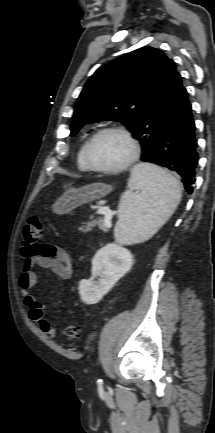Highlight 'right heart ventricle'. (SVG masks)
Segmentation results:
<instances>
[{
    "label": "right heart ventricle",
    "instance_id": "e07e8e85",
    "mask_svg": "<svg viewBox=\"0 0 215 433\" xmlns=\"http://www.w3.org/2000/svg\"><path fill=\"white\" fill-rule=\"evenodd\" d=\"M91 135H89L84 142L82 143L78 153H77V166L78 169L83 171V172H88L91 171V169L89 168V166L87 165L86 161H85V156H84V151H85V146L88 142V140L90 139Z\"/></svg>",
    "mask_w": 215,
    "mask_h": 433
}]
</instances>
